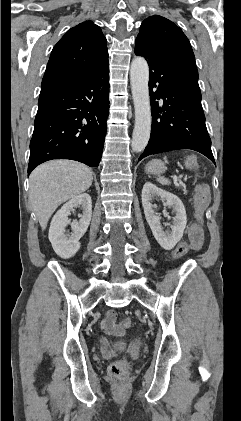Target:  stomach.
Masks as SVG:
<instances>
[{"instance_id": "stomach-1", "label": "stomach", "mask_w": 241, "mask_h": 421, "mask_svg": "<svg viewBox=\"0 0 241 421\" xmlns=\"http://www.w3.org/2000/svg\"><path fill=\"white\" fill-rule=\"evenodd\" d=\"M166 169L165 163L161 160H152L147 164L145 172L148 174L160 175L163 174Z\"/></svg>"}]
</instances>
